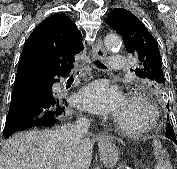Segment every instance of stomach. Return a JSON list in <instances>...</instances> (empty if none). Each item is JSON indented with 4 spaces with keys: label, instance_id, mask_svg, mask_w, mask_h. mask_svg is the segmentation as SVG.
Here are the masks:
<instances>
[{
    "label": "stomach",
    "instance_id": "0dacf381",
    "mask_svg": "<svg viewBox=\"0 0 177 169\" xmlns=\"http://www.w3.org/2000/svg\"><path fill=\"white\" fill-rule=\"evenodd\" d=\"M99 150L101 160L105 167L107 169H113L119 160V149L111 142H103L100 143Z\"/></svg>",
    "mask_w": 177,
    "mask_h": 169
}]
</instances>
